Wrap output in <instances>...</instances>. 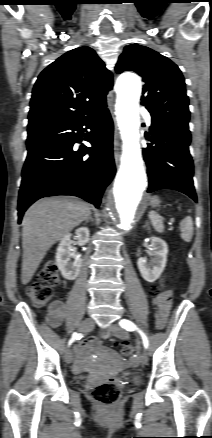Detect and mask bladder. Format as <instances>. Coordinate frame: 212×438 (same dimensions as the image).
<instances>
[{
	"instance_id": "obj_1",
	"label": "bladder",
	"mask_w": 212,
	"mask_h": 438,
	"mask_svg": "<svg viewBox=\"0 0 212 438\" xmlns=\"http://www.w3.org/2000/svg\"><path fill=\"white\" fill-rule=\"evenodd\" d=\"M129 378L131 379V381L133 383H138V380H137V378L134 375H129Z\"/></svg>"
}]
</instances>
